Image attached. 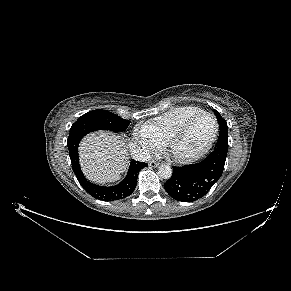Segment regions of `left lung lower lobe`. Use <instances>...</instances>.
<instances>
[{
  "label": "left lung lower lobe",
  "mask_w": 291,
  "mask_h": 291,
  "mask_svg": "<svg viewBox=\"0 0 291 291\" xmlns=\"http://www.w3.org/2000/svg\"><path fill=\"white\" fill-rule=\"evenodd\" d=\"M228 151V137L220 134L214 150L201 162L173 166L164 189L181 202H193L205 196L223 173Z\"/></svg>",
  "instance_id": "0a47b994"
}]
</instances>
